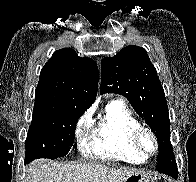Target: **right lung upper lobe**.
<instances>
[{"label":"right lung upper lobe","instance_id":"right-lung-upper-lobe-1","mask_svg":"<svg viewBox=\"0 0 196 182\" xmlns=\"http://www.w3.org/2000/svg\"><path fill=\"white\" fill-rule=\"evenodd\" d=\"M98 67L71 48L57 50L41 70L34 111L73 109L84 113L95 101Z\"/></svg>","mask_w":196,"mask_h":182}]
</instances>
